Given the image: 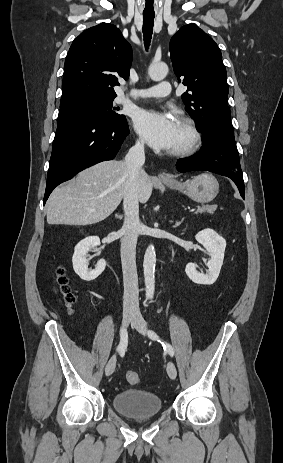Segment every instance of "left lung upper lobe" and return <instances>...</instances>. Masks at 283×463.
<instances>
[{"label": "left lung upper lobe", "mask_w": 283, "mask_h": 463, "mask_svg": "<svg viewBox=\"0 0 283 463\" xmlns=\"http://www.w3.org/2000/svg\"><path fill=\"white\" fill-rule=\"evenodd\" d=\"M174 72L188 87L185 109L196 119L203 141H220L237 150L222 54L215 41L195 24L181 27L169 46Z\"/></svg>", "instance_id": "obj_1"}]
</instances>
